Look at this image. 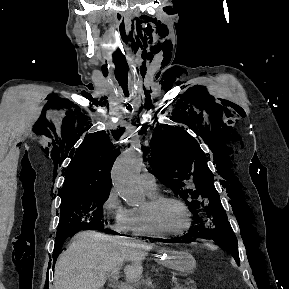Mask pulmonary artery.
Returning a JSON list of instances; mask_svg holds the SVG:
<instances>
[{"mask_svg": "<svg viewBox=\"0 0 289 289\" xmlns=\"http://www.w3.org/2000/svg\"><path fill=\"white\" fill-rule=\"evenodd\" d=\"M141 187L149 194H155L157 192V181L155 176L148 172L144 171L139 178Z\"/></svg>", "mask_w": 289, "mask_h": 289, "instance_id": "obj_1", "label": "pulmonary artery"}]
</instances>
